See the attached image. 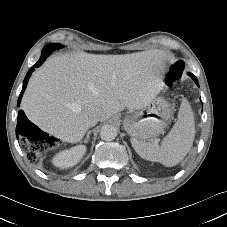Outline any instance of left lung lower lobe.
Returning a JSON list of instances; mask_svg holds the SVG:
<instances>
[{
    "mask_svg": "<svg viewBox=\"0 0 227 227\" xmlns=\"http://www.w3.org/2000/svg\"><path fill=\"white\" fill-rule=\"evenodd\" d=\"M188 75L195 78V76L193 74H188ZM195 83L199 86L198 81H197V78L195 79Z\"/></svg>",
    "mask_w": 227,
    "mask_h": 227,
    "instance_id": "obj_1",
    "label": "left lung lower lobe"
}]
</instances>
